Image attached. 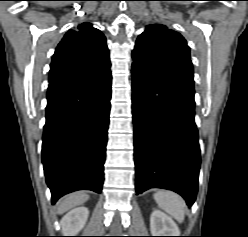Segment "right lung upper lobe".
<instances>
[{"mask_svg":"<svg viewBox=\"0 0 248 237\" xmlns=\"http://www.w3.org/2000/svg\"><path fill=\"white\" fill-rule=\"evenodd\" d=\"M110 67L106 38L91 23L68 31L56 48L49 85L90 77Z\"/></svg>","mask_w":248,"mask_h":237,"instance_id":"obj_1","label":"right lung upper lobe"}]
</instances>
